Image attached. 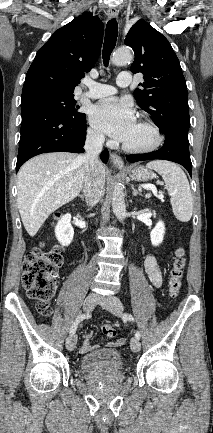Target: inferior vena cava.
Segmentation results:
<instances>
[{
	"label": "inferior vena cava",
	"instance_id": "1",
	"mask_svg": "<svg viewBox=\"0 0 213 433\" xmlns=\"http://www.w3.org/2000/svg\"><path fill=\"white\" fill-rule=\"evenodd\" d=\"M104 140V135L89 131L84 146L85 153L81 155L86 165L83 192L89 206L96 205L105 192V177L100 170L99 160Z\"/></svg>",
	"mask_w": 213,
	"mask_h": 433
}]
</instances>
